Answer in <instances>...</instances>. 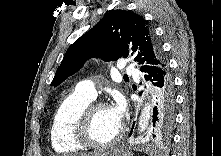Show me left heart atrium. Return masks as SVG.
<instances>
[{
	"instance_id": "obj_1",
	"label": "left heart atrium",
	"mask_w": 221,
	"mask_h": 156,
	"mask_svg": "<svg viewBox=\"0 0 221 156\" xmlns=\"http://www.w3.org/2000/svg\"><path fill=\"white\" fill-rule=\"evenodd\" d=\"M109 111L113 120L120 125L125 113L124 102L121 99H117L114 105L109 107Z\"/></svg>"
}]
</instances>
